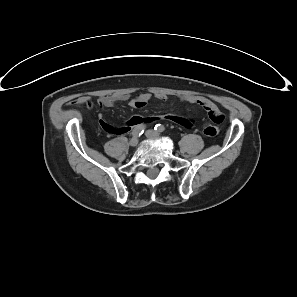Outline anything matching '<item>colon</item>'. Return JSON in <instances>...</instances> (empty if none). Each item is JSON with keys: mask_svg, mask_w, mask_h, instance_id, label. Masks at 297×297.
<instances>
[{"mask_svg": "<svg viewBox=\"0 0 297 297\" xmlns=\"http://www.w3.org/2000/svg\"><path fill=\"white\" fill-rule=\"evenodd\" d=\"M80 104L85 105L87 108H92L93 107V103L92 102H80ZM211 120L216 123L219 124L223 121V115H212L210 116ZM204 134L208 137L211 138H215L218 136L219 130L217 126L214 125H207L204 128Z\"/></svg>", "mask_w": 297, "mask_h": 297, "instance_id": "5ec220e1", "label": "colon"}]
</instances>
